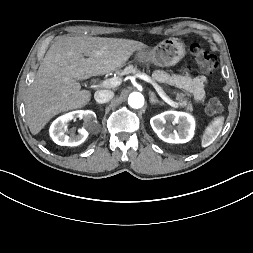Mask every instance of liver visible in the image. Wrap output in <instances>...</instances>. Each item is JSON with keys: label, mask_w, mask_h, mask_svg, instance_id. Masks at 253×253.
<instances>
[{"label": "liver", "mask_w": 253, "mask_h": 253, "mask_svg": "<svg viewBox=\"0 0 253 253\" xmlns=\"http://www.w3.org/2000/svg\"><path fill=\"white\" fill-rule=\"evenodd\" d=\"M142 42L103 37L74 36L58 39L46 52L26 97V118L38 134L55 115L82 108L91 92L77 80L103 75L125 65ZM87 56L88 58H85Z\"/></svg>", "instance_id": "6515ba94"}]
</instances>
